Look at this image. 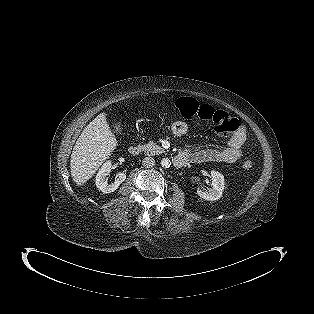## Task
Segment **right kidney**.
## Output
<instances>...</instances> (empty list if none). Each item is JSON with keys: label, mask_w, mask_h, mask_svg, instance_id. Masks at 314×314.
I'll return each mask as SVG.
<instances>
[{"label": "right kidney", "mask_w": 314, "mask_h": 314, "mask_svg": "<svg viewBox=\"0 0 314 314\" xmlns=\"http://www.w3.org/2000/svg\"><path fill=\"white\" fill-rule=\"evenodd\" d=\"M111 165H112L111 162L107 161L106 163L103 164V166L96 175V186L100 191H102L105 194L114 192L120 186V184L124 182L126 179L125 173H118L116 175L115 181L113 183L108 184L107 176L111 172Z\"/></svg>", "instance_id": "ca27d5eb"}]
</instances>
